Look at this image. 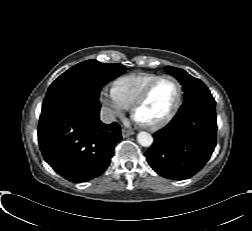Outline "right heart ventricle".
Instances as JSON below:
<instances>
[{"instance_id": "e07e8e85", "label": "right heart ventricle", "mask_w": 252, "mask_h": 231, "mask_svg": "<svg viewBox=\"0 0 252 231\" xmlns=\"http://www.w3.org/2000/svg\"><path fill=\"white\" fill-rule=\"evenodd\" d=\"M159 76L155 73H132L119 77L113 87L118 96L132 106L143 90Z\"/></svg>"}]
</instances>
